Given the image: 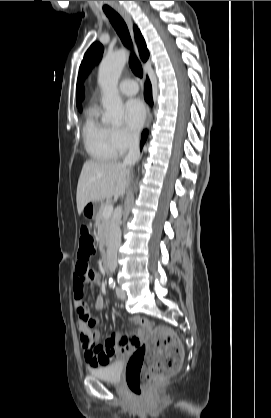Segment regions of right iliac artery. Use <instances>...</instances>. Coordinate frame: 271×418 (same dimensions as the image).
Returning <instances> with one entry per match:
<instances>
[{"label":"right iliac artery","instance_id":"obj_1","mask_svg":"<svg viewBox=\"0 0 271 418\" xmlns=\"http://www.w3.org/2000/svg\"><path fill=\"white\" fill-rule=\"evenodd\" d=\"M109 287L110 288H115V282L112 279L109 280Z\"/></svg>","mask_w":271,"mask_h":418}]
</instances>
